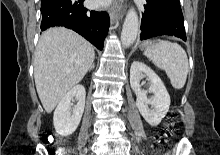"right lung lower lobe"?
Instances as JSON below:
<instances>
[{"label":"right lung lower lobe","mask_w":220,"mask_h":155,"mask_svg":"<svg viewBox=\"0 0 220 155\" xmlns=\"http://www.w3.org/2000/svg\"><path fill=\"white\" fill-rule=\"evenodd\" d=\"M41 29L65 26L82 35L98 49H103L110 26L106 12L88 11L83 0H48L41 4Z\"/></svg>","instance_id":"right-lung-lower-lobe-1"}]
</instances>
